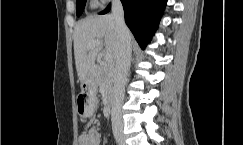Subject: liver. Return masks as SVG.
I'll list each match as a JSON object with an SVG mask.
<instances>
[{
	"mask_svg": "<svg viewBox=\"0 0 243 145\" xmlns=\"http://www.w3.org/2000/svg\"><path fill=\"white\" fill-rule=\"evenodd\" d=\"M74 56L77 74L81 83L94 71L95 61L101 46L90 48L94 41L104 43L105 52L116 60L119 39L112 14L89 16L78 21L74 28Z\"/></svg>",
	"mask_w": 243,
	"mask_h": 145,
	"instance_id": "1",
	"label": "liver"
}]
</instances>
